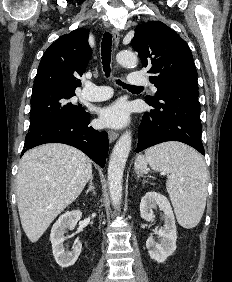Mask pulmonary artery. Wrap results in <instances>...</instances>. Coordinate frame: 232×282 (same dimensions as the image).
Returning <instances> with one entry per match:
<instances>
[{"mask_svg": "<svg viewBox=\"0 0 232 282\" xmlns=\"http://www.w3.org/2000/svg\"><path fill=\"white\" fill-rule=\"evenodd\" d=\"M128 82L132 86L149 85L153 91L157 90V88L149 82V79L139 72L131 73ZM82 95L83 98L89 101H103L111 97L112 90L108 86H97L89 82L86 84Z\"/></svg>", "mask_w": 232, "mask_h": 282, "instance_id": "pulmonary-artery-1", "label": "pulmonary artery"}]
</instances>
